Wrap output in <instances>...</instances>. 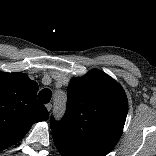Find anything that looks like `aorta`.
<instances>
[{"label":"aorta","instance_id":"1","mask_svg":"<svg viewBox=\"0 0 156 156\" xmlns=\"http://www.w3.org/2000/svg\"><path fill=\"white\" fill-rule=\"evenodd\" d=\"M54 105H55L54 107L55 116L61 117L64 114L65 109H66V100L59 99V96L57 94L54 98Z\"/></svg>","mask_w":156,"mask_h":156}]
</instances>
